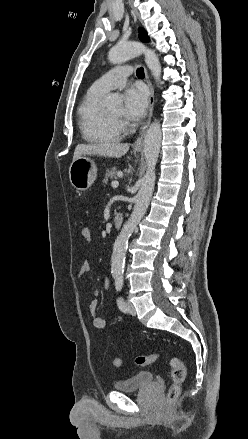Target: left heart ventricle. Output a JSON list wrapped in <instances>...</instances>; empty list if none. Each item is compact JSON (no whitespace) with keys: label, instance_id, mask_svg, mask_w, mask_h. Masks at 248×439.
Wrapping results in <instances>:
<instances>
[{"label":"left heart ventricle","instance_id":"obj_1","mask_svg":"<svg viewBox=\"0 0 248 439\" xmlns=\"http://www.w3.org/2000/svg\"><path fill=\"white\" fill-rule=\"evenodd\" d=\"M108 116L112 117V118H122L123 116V109L121 106L115 108L114 110L110 111L108 114Z\"/></svg>","mask_w":248,"mask_h":439}]
</instances>
